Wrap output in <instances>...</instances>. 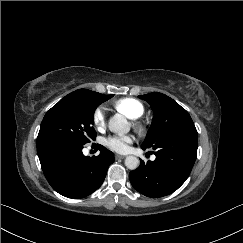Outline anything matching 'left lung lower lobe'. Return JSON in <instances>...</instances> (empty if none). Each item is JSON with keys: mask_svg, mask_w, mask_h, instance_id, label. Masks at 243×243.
<instances>
[{"mask_svg": "<svg viewBox=\"0 0 243 243\" xmlns=\"http://www.w3.org/2000/svg\"><path fill=\"white\" fill-rule=\"evenodd\" d=\"M198 136L190 134L171 139L153 149L154 161L131 171L132 186L141 194L158 198L176 191L188 178L197 156ZM143 150L148 149L141 146Z\"/></svg>", "mask_w": 243, "mask_h": 243, "instance_id": "0a47b994", "label": "left lung lower lobe"}]
</instances>
